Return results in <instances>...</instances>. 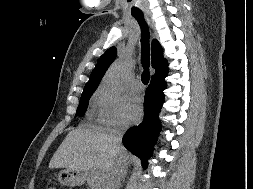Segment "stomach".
I'll list each match as a JSON object with an SVG mask.
<instances>
[{
  "label": "stomach",
  "mask_w": 253,
  "mask_h": 189,
  "mask_svg": "<svg viewBox=\"0 0 253 189\" xmlns=\"http://www.w3.org/2000/svg\"><path fill=\"white\" fill-rule=\"evenodd\" d=\"M88 174L83 171L65 169L59 172L58 181L64 186H78L87 180Z\"/></svg>",
  "instance_id": "stomach-1"
}]
</instances>
